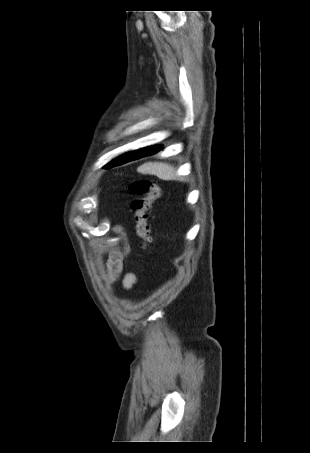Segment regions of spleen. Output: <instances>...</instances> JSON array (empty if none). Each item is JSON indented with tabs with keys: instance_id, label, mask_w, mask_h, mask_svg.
<instances>
[{
	"instance_id": "spleen-1",
	"label": "spleen",
	"mask_w": 310,
	"mask_h": 453,
	"mask_svg": "<svg viewBox=\"0 0 310 453\" xmlns=\"http://www.w3.org/2000/svg\"><path fill=\"white\" fill-rule=\"evenodd\" d=\"M138 171L143 174H151L155 175L161 180H181L183 181V178H179L177 176V172L173 166L167 163H161V162H149L145 163L142 166L138 168Z\"/></svg>"
}]
</instances>
